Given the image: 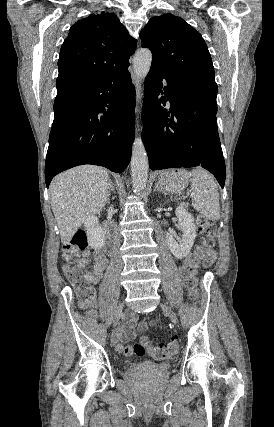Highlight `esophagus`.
<instances>
[{"mask_svg":"<svg viewBox=\"0 0 274 427\" xmlns=\"http://www.w3.org/2000/svg\"><path fill=\"white\" fill-rule=\"evenodd\" d=\"M132 80L133 83L135 84L136 87V93H137V100L139 101L141 98V93H140V82L139 79L136 77V75L132 74Z\"/></svg>","mask_w":274,"mask_h":427,"instance_id":"34e87169","label":"esophagus"}]
</instances>
